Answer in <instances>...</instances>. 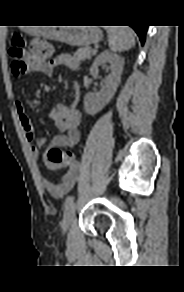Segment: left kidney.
<instances>
[{
	"instance_id": "1",
	"label": "left kidney",
	"mask_w": 184,
	"mask_h": 292,
	"mask_svg": "<svg viewBox=\"0 0 184 292\" xmlns=\"http://www.w3.org/2000/svg\"><path fill=\"white\" fill-rule=\"evenodd\" d=\"M107 63L110 64L111 72L102 82L101 90L98 93H87L84 97V109L89 115L101 111L110 102L120 84L124 59L109 51H104L95 58L90 74L97 77L99 66H106Z\"/></svg>"
}]
</instances>
